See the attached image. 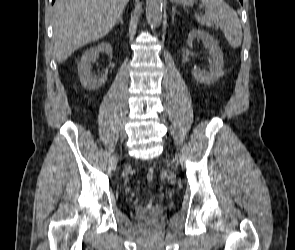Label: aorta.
<instances>
[{
  "mask_svg": "<svg viewBox=\"0 0 295 250\" xmlns=\"http://www.w3.org/2000/svg\"><path fill=\"white\" fill-rule=\"evenodd\" d=\"M146 17L153 26H158L162 19V0H146Z\"/></svg>",
  "mask_w": 295,
  "mask_h": 250,
  "instance_id": "aorta-1",
  "label": "aorta"
}]
</instances>
